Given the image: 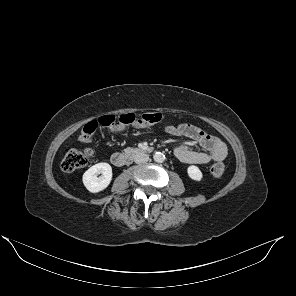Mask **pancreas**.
I'll return each instance as SVG.
<instances>
[{
	"label": "pancreas",
	"instance_id": "cf45deb5",
	"mask_svg": "<svg viewBox=\"0 0 296 296\" xmlns=\"http://www.w3.org/2000/svg\"><path fill=\"white\" fill-rule=\"evenodd\" d=\"M126 150L129 151V150H132V148H127Z\"/></svg>",
	"mask_w": 296,
	"mask_h": 296
}]
</instances>
